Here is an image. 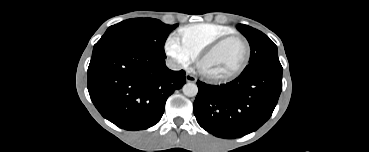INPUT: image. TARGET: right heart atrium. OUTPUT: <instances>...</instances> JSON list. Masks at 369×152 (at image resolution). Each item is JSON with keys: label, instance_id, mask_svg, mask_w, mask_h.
Returning <instances> with one entry per match:
<instances>
[{"label": "right heart atrium", "instance_id": "right-heart-atrium-1", "mask_svg": "<svg viewBox=\"0 0 369 152\" xmlns=\"http://www.w3.org/2000/svg\"><path fill=\"white\" fill-rule=\"evenodd\" d=\"M164 48L166 54L174 63L183 69H187L197 58L194 52L176 34L167 37Z\"/></svg>", "mask_w": 369, "mask_h": 152}]
</instances>
